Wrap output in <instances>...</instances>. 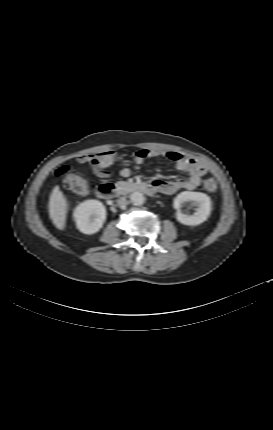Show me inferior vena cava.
I'll return each instance as SVG.
<instances>
[{
  "mask_svg": "<svg viewBox=\"0 0 273 430\" xmlns=\"http://www.w3.org/2000/svg\"><path fill=\"white\" fill-rule=\"evenodd\" d=\"M117 203H118V206H119L121 209H124V208L126 207V205L128 204V203H127V200H126V198H125V197H120V198L117 200Z\"/></svg>",
  "mask_w": 273,
  "mask_h": 430,
  "instance_id": "602c4592",
  "label": "inferior vena cava"
}]
</instances>
